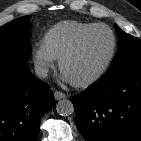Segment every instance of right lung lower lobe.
<instances>
[{
	"instance_id": "1",
	"label": "right lung lower lobe",
	"mask_w": 141,
	"mask_h": 141,
	"mask_svg": "<svg viewBox=\"0 0 141 141\" xmlns=\"http://www.w3.org/2000/svg\"><path fill=\"white\" fill-rule=\"evenodd\" d=\"M54 106L53 92L25 59L0 61V141H36L41 118Z\"/></svg>"
}]
</instances>
